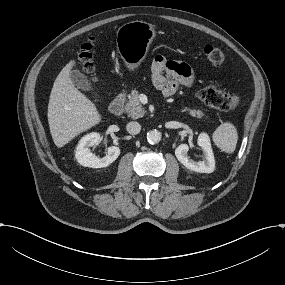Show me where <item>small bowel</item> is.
<instances>
[{
    "label": "small bowel",
    "instance_id": "c3829d8e",
    "mask_svg": "<svg viewBox=\"0 0 285 285\" xmlns=\"http://www.w3.org/2000/svg\"><path fill=\"white\" fill-rule=\"evenodd\" d=\"M150 70L154 86L166 98L173 96L179 85L192 87L195 82V75L188 64L167 60L160 55L153 59Z\"/></svg>",
    "mask_w": 285,
    "mask_h": 285
}]
</instances>
